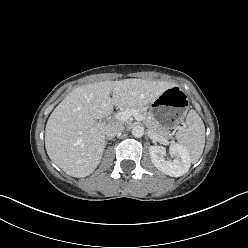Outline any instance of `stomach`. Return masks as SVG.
I'll list each match as a JSON object with an SVG mask.
<instances>
[{"label": "stomach", "mask_w": 248, "mask_h": 248, "mask_svg": "<svg viewBox=\"0 0 248 248\" xmlns=\"http://www.w3.org/2000/svg\"><path fill=\"white\" fill-rule=\"evenodd\" d=\"M188 111V99L179 86L166 89L149 107V116L166 129L176 128Z\"/></svg>", "instance_id": "0dacf381"}]
</instances>
